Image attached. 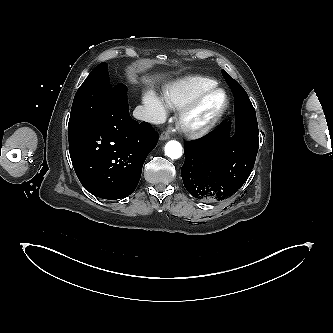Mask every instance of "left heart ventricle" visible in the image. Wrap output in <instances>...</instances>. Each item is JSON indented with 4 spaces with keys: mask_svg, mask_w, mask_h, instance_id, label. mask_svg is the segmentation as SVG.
<instances>
[{
    "mask_svg": "<svg viewBox=\"0 0 333 333\" xmlns=\"http://www.w3.org/2000/svg\"><path fill=\"white\" fill-rule=\"evenodd\" d=\"M222 102V95L216 93L207 97L194 113L192 120L202 122L207 119L219 107Z\"/></svg>",
    "mask_w": 333,
    "mask_h": 333,
    "instance_id": "b2bd125f",
    "label": "left heart ventricle"
}]
</instances>
